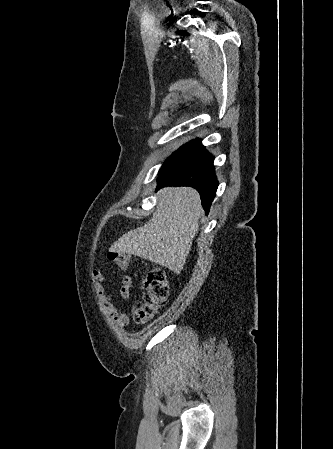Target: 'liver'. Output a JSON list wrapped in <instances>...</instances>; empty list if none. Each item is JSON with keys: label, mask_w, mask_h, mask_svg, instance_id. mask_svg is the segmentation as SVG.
<instances>
[{"label": "liver", "mask_w": 333, "mask_h": 449, "mask_svg": "<svg viewBox=\"0 0 333 449\" xmlns=\"http://www.w3.org/2000/svg\"><path fill=\"white\" fill-rule=\"evenodd\" d=\"M157 196L153 217L123 234L109 250L134 254L180 273L203 215L200 197L190 187L163 188Z\"/></svg>", "instance_id": "6515ba94"}]
</instances>
